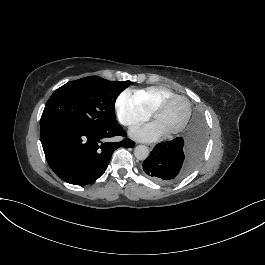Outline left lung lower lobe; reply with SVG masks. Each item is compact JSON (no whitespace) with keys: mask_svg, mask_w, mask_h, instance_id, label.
I'll list each match as a JSON object with an SVG mask.
<instances>
[{"mask_svg":"<svg viewBox=\"0 0 265 265\" xmlns=\"http://www.w3.org/2000/svg\"><path fill=\"white\" fill-rule=\"evenodd\" d=\"M206 132L200 114H195L182 136L157 144L143 162L145 174L154 182L170 184L188 175L198 164Z\"/></svg>","mask_w":265,"mask_h":265,"instance_id":"obj_1","label":"left lung lower lobe"}]
</instances>
